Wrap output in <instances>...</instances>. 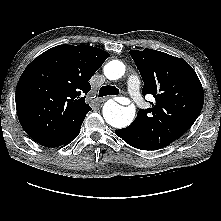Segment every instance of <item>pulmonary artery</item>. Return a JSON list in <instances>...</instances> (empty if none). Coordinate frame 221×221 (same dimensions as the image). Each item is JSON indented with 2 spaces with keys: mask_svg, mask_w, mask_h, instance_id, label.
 Masks as SVG:
<instances>
[{
  "mask_svg": "<svg viewBox=\"0 0 221 221\" xmlns=\"http://www.w3.org/2000/svg\"><path fill=\"white\" fill-rule=\"evenodd\" d=\"M129 92L135 102L141 101V96L139 93L140 81L136 75H131L127 81Z\"/></svg>",
  "mask_w": 221,
  "mask_h": 221,
  "instance_id": "pulmonary-artery-1",
  "label": "pulmonary artery"
}]
</instances>
